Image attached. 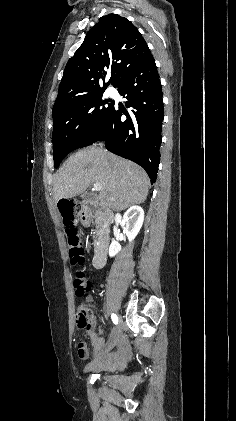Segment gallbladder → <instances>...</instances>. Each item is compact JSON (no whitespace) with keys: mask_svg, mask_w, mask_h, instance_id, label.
Wrapping results in <instances>:
<instances>
[{"mask_svg":"<svg viewBox=\"0 0 236 421\" xmlns=\"http://www.w3.org/2000/svg\"><path fill=\"white\" fill-rule=\"evenodd\" d=\"M82 198H86L87 194L86 192H83V194H81Z\"/></svg>","mask_w":236,"mask_h":421,"instance_id":"1","label":"gallbladder"}]
</instances>
